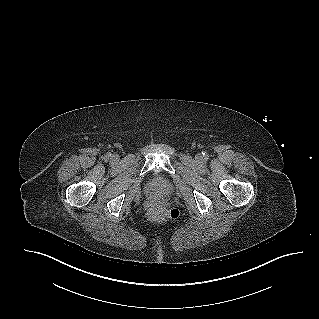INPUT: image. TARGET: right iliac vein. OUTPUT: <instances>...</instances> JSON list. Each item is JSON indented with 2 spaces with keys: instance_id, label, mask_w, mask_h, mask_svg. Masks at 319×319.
<instances>
[{
  "instance_id": "obj_1",
  "label": "right iliac vein",
  "mask_w": 319,
  "mask_h": 319,
  "mask_svg": "<svg viewBox=\"0 0 319 319\" xmlns=\"http://www.w3.org/2000/svg\"><path fill=\"white\" fill-rule=\"evenodd\" d=\"M111 159H112V161L116 162V161L118 160V157H117L116 155H113V156L111 157Z\"/></svg>"
}]
</instances>
